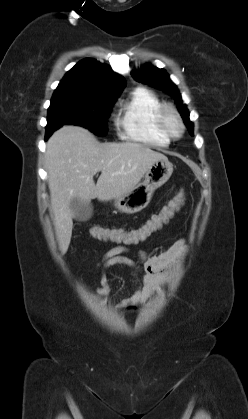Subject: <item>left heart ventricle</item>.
Instances as JSON below:
<instances>
[{"label": "left heart ventricle", "instance_id": "left-heart-ventricle-1", "mask_svg": "<svg viewBox=\"0 0 248 419\" xmlns=\"http://www.w3.org/2000/svg\"><path fill=\"white\" fill-rule=\"evenodd\" d=\"M168 123H169V126L171 127V129H172V130H174V131H178L179 126H178V123H177V121L175 120V118H173L172 116H170V117L168 118Z\"/></svg>", "mask_w": 248, "mask_h": 419}]
</instances>
